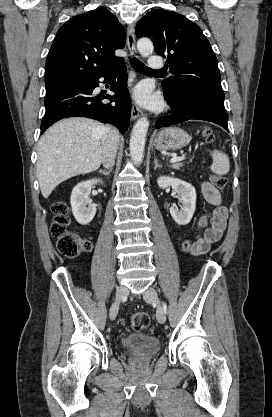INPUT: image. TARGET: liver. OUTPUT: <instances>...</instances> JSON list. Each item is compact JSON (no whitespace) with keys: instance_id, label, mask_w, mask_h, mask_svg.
Masks as SVG:
<instances>
[{"instance_id":"1","label":"liver","mask_w":272,"mask_h":417,"mask_svg":"<svg viewBox=\"0 0 272 417\" xmlns=\"http://www.w3.org/2000/svg\"><path fill=\"white\" fill-rule=\"evenodd\" d=\"M103 124L73 117L50 127L38 144L37 177L44 198L63 181L96 171L102 162Z\"/></svg>"}]
</instances>
